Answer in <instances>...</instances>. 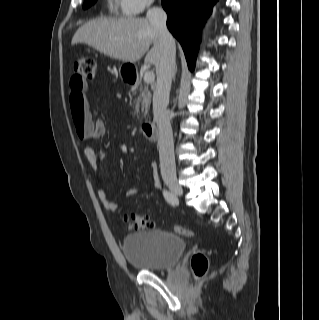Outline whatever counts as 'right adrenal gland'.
I'll return each instance as SVG.
<instances>
[{
	"label": "right adrenal gland",
	"mask_w": 319,
	"mask_h": 320,
	"mask_svg": "<svg viewBox=\"0 0 319 320\" xmlns=\"http://www.w3.org/2000/svg\"><path fill=\"white\" fill-rule=\"evenodd\" d=\"M177 67L175 68V73H176ZM175 73H174V79H175Z\"/></svg>",
	"instance_id": "right-adrenal-gland-1"
}]
</instances>
